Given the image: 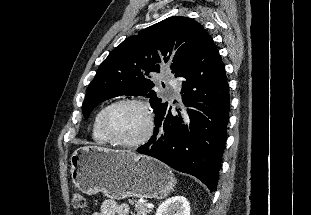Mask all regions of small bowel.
I'll use <instances>...</instances> for the list:
<instances>
[{"mask_svg": "<svg viewBox=\"0 0 311 215\" xmlns=\"http://www.w3.org/2000/svg\"><path fill=\"white\" fill-rule=\"evenodd\" d=\"M91 215H129V207L112 199H106L102 202L100 210Z\"/></svg>", "mask_w": 311, "mask_h": 215, "instance_id": "c3829d8e", "label": "small bowel"}]
</instances>
